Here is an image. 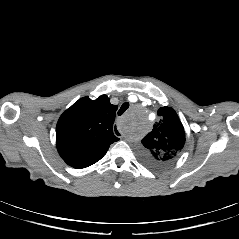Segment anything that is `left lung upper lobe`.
Instances as JSON below:
<instances>
[{"instance_id":"left-lung-upper-lobe-1","label":"left lung upper lobe","mask_w":239,"mask_h":239,"mask_svg":"<svg viewBox=\"0 0 239 239\" xmlns=\"http://www.w3.org/2000/svg\"><path fill=\"white\" fill-rule=\"evenodd\" d=\"M157 114L159 120L153 130L142 139L143 161L151 166L160 168L177 159L185 144L184 127L170 107H161Z\"/></svg>"}]
</instances>
